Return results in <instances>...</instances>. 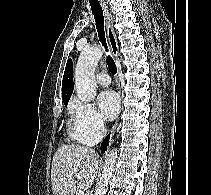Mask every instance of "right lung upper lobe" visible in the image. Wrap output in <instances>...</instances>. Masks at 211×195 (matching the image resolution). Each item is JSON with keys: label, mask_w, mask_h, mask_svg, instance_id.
Returning a JSON list of instances; mask_svg holds the SVG:
<instances>
[{"label": "right lung upper lobe", "mask_w": 211, "mask_h": 195, "mask_svg": "<svg viewBox=\"0 0 211 195\" xmlns=\"http://www.w3.org/2000/svg\"><path fill=\"white\" fill-rule=\"evenodd\" d=\"M73 92V76H72V61L68 60L62 81V98L63 102H68Z\"/></svg>", "instance_id": "cb5924a9"}]
</instances>
